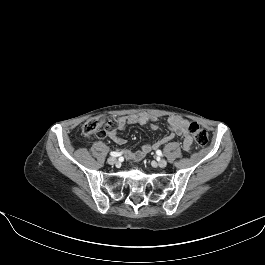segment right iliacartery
I'll use <instances>...</instances> for the list:
<instances>
[{
    "label": "right iliac artery",
    "mask_w": 265,
    "mask_h": 265,
    "mask_svg": "<svg viewBox=\"0 0 265 265\" xmlns=\"http://www.w3.org/2000/svg\"><path fill=\"white\" fill-rule=\"evenodd\" d=\"M110 155L113 156V157H117V156H120L121 153H119V152H111Z\"/></svg>",
    "instance_id": "82829eb1"
}]
</instances>
